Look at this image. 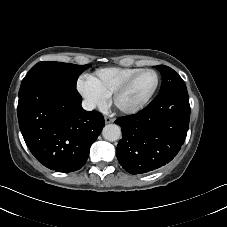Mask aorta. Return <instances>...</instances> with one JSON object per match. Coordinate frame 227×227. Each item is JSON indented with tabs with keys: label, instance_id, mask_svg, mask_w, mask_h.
<instances>
[{
	"label": "aorta",
	"instance_id": "1",
	"mask_svg": "<svg viewBox=\"0 0 227 227\" xmlns=\"http://www.w3.org/2000/svg\"><path fill=\"white\" fill-rule=\"evenodd\" d=\"M102 136L105 140L113 142L120 138L121 129L116 124H108L102 130Z\"/></svg>",
	"mask_w": 227,
	"mask_h": 227
}]
</instances>
